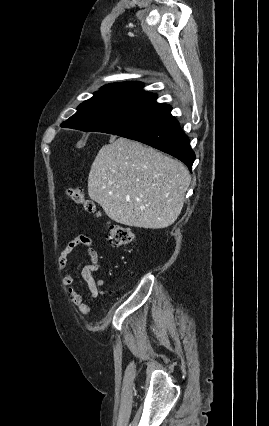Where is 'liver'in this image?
I'll return each instance as SVG.
<instances>
[{
    "label": "liver",
    "instance_id": "6515ba94",
    "mask_svg": "<svg viewBox=\"0 0 269 426\" xmlns=\"http://www.w3.org/2000/svg\"><path fill=\"white\" fill-rule=\"evenodd\" d=\"M190 181L180 161L120 137L95 157L88 194L117 223L162 229L178 218Z\"/></svg>",
    "mask_w": 269,
    "mask_h": 426
}]
</instances>
